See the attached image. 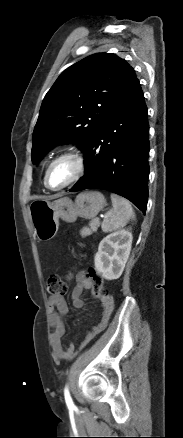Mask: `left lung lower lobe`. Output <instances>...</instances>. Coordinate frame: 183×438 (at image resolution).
<instances>
[{
  "instance_id": "left-lung-lower-lobe-1",
  "label": "left lung lower lobe",
  "mask_w": 183,
  "mask_h": 438,
  "mask_svg": "<svg viewBox=\"0 0 183 438\" xmlns=\"http://www.w3.org/2000/svg\"><path fill=\"white\" fill-rule=\"evenodd\" d=\"M138 80L99 125L84 150L85 174L69 190L103 189L144 213L148 201L149 125Z\"/></svg>"
}]
</instances>
